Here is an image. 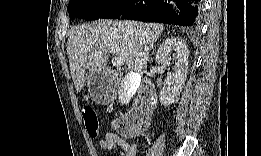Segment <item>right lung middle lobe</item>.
I'll return each mask as SVG.
<instances>
[{
    "instance_id": "obj_1",
    "label": "right lung middle lobe",
    "mask_w": 261,
    "mask_h": 156,
    "mask_svg": "<svg viewBox=\"0 0 261 156\" xmlns=\"http://www.w3.org/2000/svg\"><path fill=\"white\" fill-rule=\"evenodd\" d=\"M118 0H70V19L82 18L87 21L101 18Z\"/></svg>"
}]
</instances>
